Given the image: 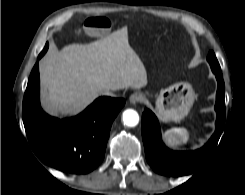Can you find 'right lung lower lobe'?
Instances as JSON below:
<instances>
[{
    "label": "right lung lower lobe",
    "instance_id": "obj_1",
    "mask_svg": "<svg viewBox=\"0 0 245 195\" xmlns=\"http://www.w3.org/2000/svg\"><path fill=\"white\" fill-rule=\"evenodd\" d=\"M48 49V43L38 58ZM122 98L100 97L81 114L59 120L46 114L39 101V68L35 64L23 99L22 117L36 156L55 169L86 174L103 160L113 120L124 106Z\"/></svg>",
    "mask_w": 245,
    "mask_h": 195
}]
</instances>
